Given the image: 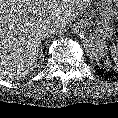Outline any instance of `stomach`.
<instances>
[{
    "label": "stomach",
    "instance_id": "1",
    "mask_svg": "<svg viewBox=\"0 0 118 118\" xmlns=\"http://www.w3.org/2000/svg\"><path fill=\"white\" fill-rule=\"evenodd\" d=\"M99 32L105 37L108 38L112 35L113 29L109 25V22H103L101 26H99Z\"/></svg>",
    "mask_w": 118,
    "mask_h": 118
}]
</instances>
